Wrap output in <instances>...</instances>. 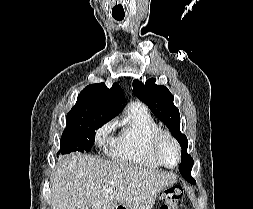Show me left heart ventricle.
Wrapping results in <instances>:
<instances>
[{"label": "left heart ventricle", "mask_w": 253, "mask_h": 209, "mask_svg": "<svg viewBox=\"0 0 253 209\" xmlns=\"http://www.w3.org/2000/svg\"><path fill=\"white\" fill-rule=\"evenodd\" d=\"M159 154L164 162L173 166L177 162V150L174 143L169 138H163L159 145Z\"/></svg>", "instance_id": "left-heart-ventricle-1"}]
</instances>
